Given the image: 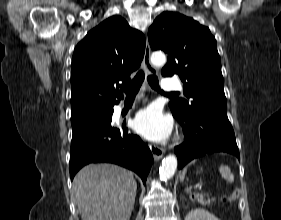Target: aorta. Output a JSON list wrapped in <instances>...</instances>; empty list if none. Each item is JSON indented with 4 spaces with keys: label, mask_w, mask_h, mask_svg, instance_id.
Instances as JSON below:
<instances>
[{
    "label": "aorta",
    "mask_w": 281,
    "mask_h": 220,
    "mask_svg": "<svg viewBox=\"0 0 281 220\" xmlns=\"http://www.w3.org/2000/svg\"><path fill=\"white\" fill-rule=\"evenodd\" d=\"M151 63L155 67H162L166 63V56L162 52H154L151 55ZM177 169V158L174 155H168L162 160V165L159 169L160 179L167 180L173 177Z\"/></svg>",
    "instance_id": "1"
}]
</instances>
